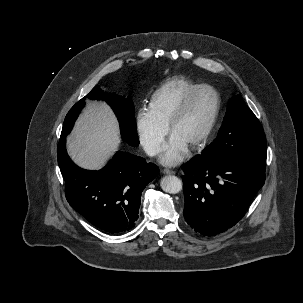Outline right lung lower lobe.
I'll return each mask as SVG.
<instances>
[{"mask_svg":"<svg viewBox=\"0 0 303 303\" xmlns=\"http://www.w3.org/2000/svg\"><path fill=\"white\" fill-rule=\"evenodd\" d=\"M65 142L60 138L57 153L69 204L110 234L131 230L138 219L141 193L158 175V167L142 157L118 151L101 170H84L71 161Z\"/></svg>","mask_w":303,"mask_h":303,"instance_id":"right-lung-lower-lobe-1","label":"right lung lower lobe"}]
</instances>
